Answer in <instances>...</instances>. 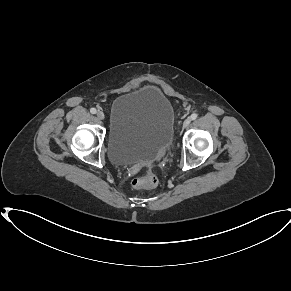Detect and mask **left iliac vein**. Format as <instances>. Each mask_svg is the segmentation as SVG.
Masks as SVG:
<instances>
[{"instance_id": "left-iliac-vein-1", "label": "left iliac vein", "mask_w": 291, "mask_h": 291, "mask_svg": "<svg viewBox=\"0 0 291 291\" xmlns=\"http://www.w3.org/2000/svg\"><path fill=\"white\" fill-rule=\"evenodd\" d=\"M190 122H191V119H190V118H186V119L184 120V122H183V127H184V128L188 127L189 124H190Z\"/></svg>"}]
</instances>
